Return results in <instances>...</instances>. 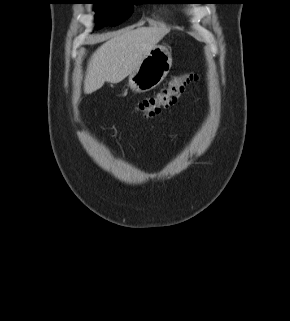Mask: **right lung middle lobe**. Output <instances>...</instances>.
I'll return each mask as SVG.
<instances>
[{
    "instance_id": "obj_1",
    "label": "right lung middle lobe",
    "mask_w": 290,
    "mask_h": 321,
    "mask_svg": "<svg viewBox=\"0 0 290 321\" xmlns=\"http://www.w3.org/2000/svg\"><path fill=\"white\" fill-rule=\"evenodd\" d=\"M133 0H91L92 4H103L97 10V28L116 26L127 19L133 12Z\"/></svg>"
}]
</instances>
